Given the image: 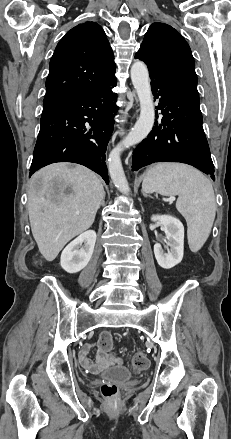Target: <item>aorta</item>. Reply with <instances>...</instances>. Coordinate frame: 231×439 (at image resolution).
<instances>
[{"instance_id": "obj_1", "label": "aorta", "mask_w": 231, "mask_h": 439, "mask_svg": "<svg viewBox=\"0 0 231 439\" xmlns=\"http://www.w3.org/2000/svg\"><path fill=\"white\" fill-rule=\"evenodd\" d=\"M131 80L140 102V116L128 135L109 154L108 170L115 187L124 194L130 192L120 155L123 149L140 143L153 128L155 109L147 66L136 61L131 66Z\"/></svg>"}]
</instances>
